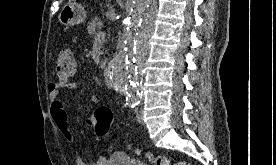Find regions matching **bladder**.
<instances>
[{
  "mask_svg": "<svg viewBox=\"0 0 276 165\" xmlns=\"http://www.w3.org/2000/svg\"><path fill=\"white\" fill-rule=\"evenodd\" d=\"M109 165H148L147 163L131 158L125 154H117Z\"/></svg>",
  "mask_w": 276,
  "mask_h": 165,
  "instance_id": "1",
  "label": "bladder"
}]
</instances>
